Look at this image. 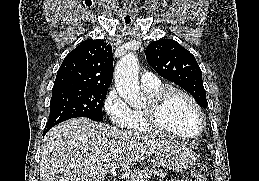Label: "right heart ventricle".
Wrapping results in <instances>:
<instances>
[{
  "label": "right heart ventricle",
  "instance_id": "e07e8e85",
  "mask_svg": "<svg viewBox=\"0 0 259 181\" xmlns=\"http://www.w3.org/2000/svg\"><path fill=\"white\" fill-rule=\"evenodd\" d=\"M162 88H164V85L159 83L156 86H153L150 88H142V89L147 95L148 99H150ZM128 129L139 133H145V134H153L155 132L147 121L144 108L132 110L131 121Z\"/></svg>",
  "mask_w": 259,
  "mask_h": 181
}]
</instances>
